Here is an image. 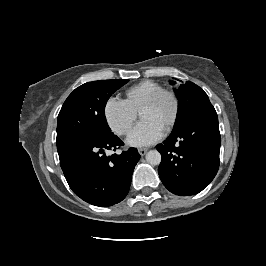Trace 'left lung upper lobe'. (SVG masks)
<instances>
[{
  "label": "left lung upper lobe",
  "instance_id": "left-lung-upper-lobe-1",
  "mask_svg": "<svg viewBox=\"0 0 266 266\" xmlns=\"http://www.w3.org/2000/svg\"><path fill=\"white\" fill-rule=\"evenodd\" d=\"M170 83L175 84L174 81ZM174 91L179 100V106L173 131L181 127L194 114L212 106L204 90L193 82L183 83Z\"/></svg>",
  "mask_w": 266,
  "mask_h": 266
}]
</instances>
